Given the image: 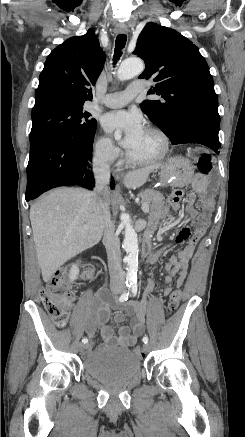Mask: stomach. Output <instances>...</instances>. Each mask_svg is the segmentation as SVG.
Instances as JSON below:
<instances>
[{
  "instance_id": "stomach-1",
  "label": "stomach",
  "mask_w": 245,
  "mask_h": 437,
  "mask_svg": "<svg viewBox=\"0 0 245 437\" xmlns=\"http://www.w3.org/2000/svg\"><path fill=\"white\" fill-rule=\"evenodd\" d=\"M193 174L194 167L188 159L181 156L174 157L160 167L159 183L163 187L182 188L191 182Z\"/></svg>"
}]
</instances>
